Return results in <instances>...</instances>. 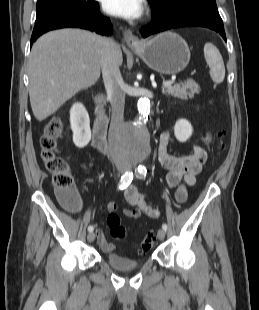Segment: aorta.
Masks as SVG:
<instances>
[{"mask_svg": "<svg viewBox=\"0 0 259 310\" xmlns=\"http://www.w3.org/2000/svg\"><path fill=\"white\" fill-rule=\"evenodd\" d=\"M138 117L127 124L120 133L119 148L131 160H142L150 153V134L146 121L151 112V103L147 98L137 102Z\"/></svg>", "mask_w": 259, "mask_h": 310, "instance_id": "762f6f07", "label": "aorta"}]
</instances>
